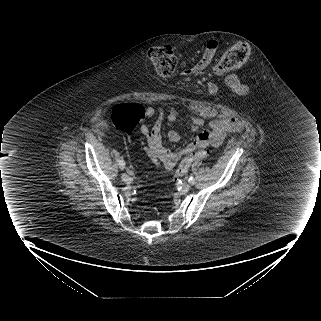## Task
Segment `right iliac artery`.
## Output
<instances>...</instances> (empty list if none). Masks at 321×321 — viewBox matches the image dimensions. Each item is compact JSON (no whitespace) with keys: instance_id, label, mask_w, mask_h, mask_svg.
Instances as JSON below:
<instances>
[{"instance_id":"82829eb1","label":"right iliac artery","mask_w":321,"mask_h":321,"mask_svg":"<svg viewBox=\"0 0 321 321\" xmlns=\"http://www.w3.org/2000/svg\"><path fill=\"white\" fill-rule=\"evenodd\" d=\"M118 164H119V166H120L121 169H124V167H125V162H124L123 160H119V161H118Z\"/></svg>"}]
</instances>
